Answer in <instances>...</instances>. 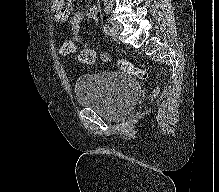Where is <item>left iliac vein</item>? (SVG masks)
Here are the masks:
<instances>
[{
    "mask_svg": "<svg viewBox=\"0 0 219 192\" xmlns=\"http://www.w3.org/2000/svg\"><path fill=\"white\" fill-rule=\"evenodd\" d=\"M111 34L115 40L119 39L120 32L122 30V26L119 23L111 22L110 23Z\"/></svg>",
    "mask_w": 219,
    "mask_h": 192,
    "instance_id": "4c4485c4",
    "label": "left iliac vein"
}]
</instances>
